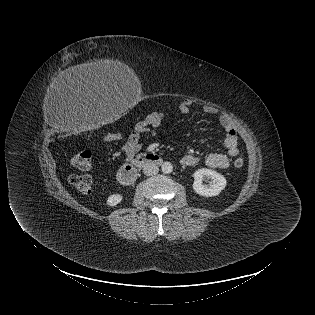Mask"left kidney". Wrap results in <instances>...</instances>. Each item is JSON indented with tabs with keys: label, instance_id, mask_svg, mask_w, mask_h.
I'll use <instances>...</instances> for the list:
<instances>
[{
	"label": "left kidney",
	"instance_id": "5707ae66",
	"mask_svg": "<svg viewBox=\"0 0 315 315\" xmlns=\"http://www.w3.org/2000/svg\"><path fill=\"white\" fill-rule=\"evenodd\" d=\"M204 178H210L212 182L209 185H204ZM226 183L225 177L220 173L211 169L202 168L194 173L193 189L201 196L212 197L218 195L225 188Z\"/></svg>",
	"mask_w": 315,
	"mask_h": 315
}]
</instances>
